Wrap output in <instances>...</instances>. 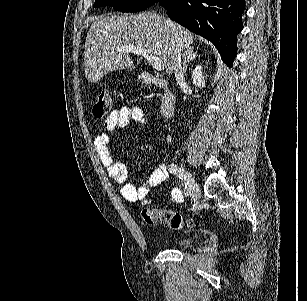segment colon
Returning a JSON list of instances; mask_svg holds the SVG:
<instances>
[{
	"instance_id": "1",
	"label": "colon",
	"mask_w": 307,
	"mask_h": 301,
	"mask_svg": "<svg viewBox=\"0 0 307 301\" xmlns=\"http://www.w3.org/2000/svg\"><path fill=\"white\" fill-rule=\"evenodd\" d=\"M111 110V98L108 91H102L93 107V115L96 118L105 117ZM142 218L148 225H155L161 223L172 229H180L184 225L191 227L193 226V221H184L183 217L176 212L170 210H160L157 208H144L142 211Z\"/></svg>"
}]
</instances>
